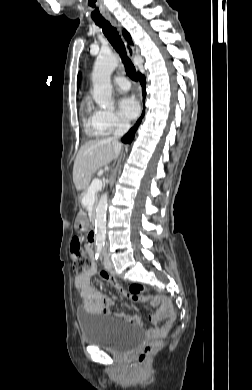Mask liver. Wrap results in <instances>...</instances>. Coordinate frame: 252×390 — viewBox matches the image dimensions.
<instances>
[{"label": "liver", "mask_w": 252, "mask_h": 390, "mask_svg": "<svg viewBox=\"0 0 252 390\" xmlns=\"http://www.w3.org/2000/svg\"><path fill=\"white\" fill-rule=\"evenodd\" d=\"M116 157L110 139L93 140L79 150L73 166V182L77 191L85 190L92 175Z\"/></svg>", "instance_id": "liver-1"}]
</instances>
